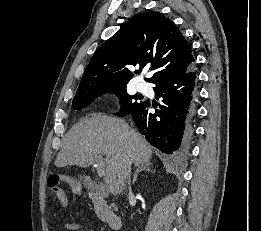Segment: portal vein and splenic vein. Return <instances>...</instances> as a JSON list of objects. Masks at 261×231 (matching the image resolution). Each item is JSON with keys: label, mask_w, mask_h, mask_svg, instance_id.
I'll list each match as a JSON object with an SVG mask.
<instances>
[{"label": "portal vein and splenic vein", "mask_w": 261, "mask_h": 231, "mask_svg": "<svg viewBox=\"0 0 261 231\" xmlns=\"http://www.w3.org/2000/svg\"><path fill=\"white\" fill-rule=\"evenodd\" d=\"M96 162H97V173L99 177H103L105 174V162L101 155H96Z\"/></svg>", "instance_id": "obj_1"}]
</instances>
